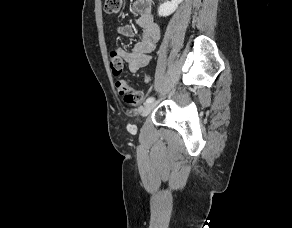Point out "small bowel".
I'll list each match as a JSON object with an SVG mask.
<instances>
[{
	"mask_svg": "<svg viewBox=\"0 0 292 228\" xmlns=\"http://www.w3.org/2000/svg\"><path fill=\"white\" fill-rule=\"evenodd\" d=\"M133 9L137 14V23L142 29L140 40L130 49L116 48L111 52L126 63L131 73H137L151 61V54L160 38V29L152 14V0H135ZM118 32L125 37H134L131 25H121Z\"/></svg>",
	"mask_w": 292,
	"mask_h": 228,
	"instance_id": "c3829d8e",
	"label": "small bowel"
}]
</instances>
